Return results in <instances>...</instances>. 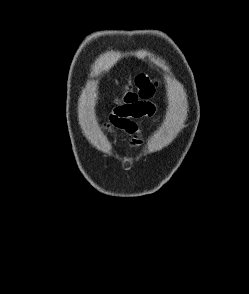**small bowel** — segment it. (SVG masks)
I'll list each match as a JSON object with an SVG mask.
<instances>
[{"mask_svg": "<svg viewBox=\"0 0 249 294\" xmlns=\"http://www.w3.org/2000/svg\"><path fill=\"white\" fill-rule=\"evenodd\" d=\"M157 107L151 102H131L113 108L103 126L106 129H113L126 133L133 137V144L139 145L140 139L138 119L153 117L156 115Z\"/></svg>", "mask_w": 249, "mask_h": 294, "instance_id": "c3829d8e", "label": "small bowel"}]
</instances>
